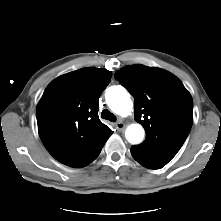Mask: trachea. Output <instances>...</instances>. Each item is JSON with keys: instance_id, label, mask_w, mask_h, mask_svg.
I'll list each match as a JSON object with an SVG mask.
<instances>
[{"instance_id": "trachea-1", "label": "trachea", "mask_w": 221, "mask_h": 221, "mask_svg": "<svg viewBox=\"0 0 221 221\" xmlns=\"http://www.w3.org/2000/svg\"><path fill=\"white\" fill-rule=\"evenodd\" d=\"M101 117L103 119L109 120L111 122H115L116 121V116L111 113L108 109H104L101 113Z\"/></svg>"}]
</instances>
